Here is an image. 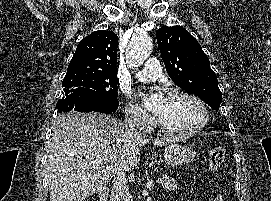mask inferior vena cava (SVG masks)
I'll use <instances>...</instances> for the list:
<instances>
[{
  "label": "inferior vena cava",
  "instance_id": "inferior-vena-cava-1",
  "mask_svg": "<svg viewBox=\"0 0 271 201\" xmlns=\"http://www.w3.org/2000/svg\"><path fill=\"white\" fill-rule=\"evenodd\" d=\"M124 127L129 135H138L136 121L133 117L127 116L124 120ZM110 201H130V194L126 174L120 172L113 180Z\"/></svg>",
  "mask_w": 271,
  "mask_h": 201
}]
</instances>
